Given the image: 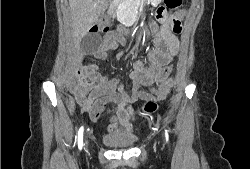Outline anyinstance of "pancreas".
Masks as SVG:
<instances>
[{"label":"pancreas","mask_w":250,"mask_h":169,"mask_svg":"<svg viewBox=\"0 0 250 169\" xmlns=\"http://www.w3.org/2000/svg\"><path fill=\"white\" fill-rule=\"evenodd\" d=\"M124 2H126L127 4V8L126 10H129V12H135L136 10V6H137V0H124Z\"/></svg>","instance_id":"pancreas-1"}]
</instances>
